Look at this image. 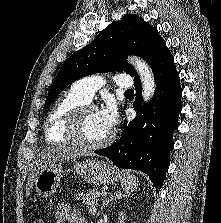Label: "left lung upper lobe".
<instances>
[{
    "label": "left lung upper lobe",
    "instance_id": "5c2ea615",
    "mask_svg": "<svg viewBox=\"0 0 221 223\" xmlns=\"http://www.w3.org/2000/svg\"><path fill=\"white\" fill-rule=\"evenodd\" d=\"M166 48L156 28L135 14L125 15L63 63L49 90L44 109L67 85L84 76L124 70L136 82L140 80L139 76L126 62V57L129 54L140 56L153 68Z\"/></svg>",
    "mask_w": 221,
    "mask_h": 223
}]
</instances>
